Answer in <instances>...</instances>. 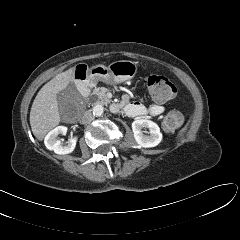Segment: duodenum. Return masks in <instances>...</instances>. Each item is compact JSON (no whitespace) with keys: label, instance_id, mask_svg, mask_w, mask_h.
I'll list each match as a JSON object with an SVG mask.
<instances>
[{"label":"duodenum","instance_id":"410a0bca","mask_svg":"<svg viewBox=\"0 0 240 240\" xmlns=\"http://www.w3.org/2000/svg\"><path fill=\"white\" fill-rule=\"evenodd\" d=\"M77 85H78V89L80 91V93L86 97L89 95L90 92V79L89 77H87L86 75H80L77 78ZM111 110L113 112H118L120 110V106L118 104H112L111 105Z\"/></svg>","mask_w":240,"mask_h":240}]
</instances>
